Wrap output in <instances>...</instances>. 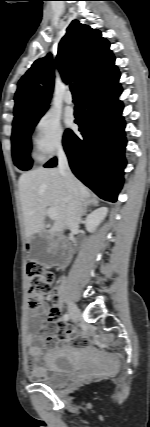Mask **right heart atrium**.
<instances>
[{
  "label": "right heart atrium",
  "instance_id": "right-heart-atrium-1",
  "mask_svg": "<svg viewBox=\"0 0 150 427\" xmlns=\"http://www.w3.org/2000/svg\"><path fill=\"white\" fill-rule=\"evenodd\" d=\"M65 132L59 117L52 112L43 113L34 126V144L42 158H50L61 151Z\"/></svg>",
  "mask_w": 150,
  "mask_h": 427
}]
</instances>
